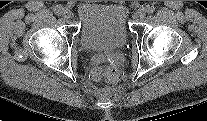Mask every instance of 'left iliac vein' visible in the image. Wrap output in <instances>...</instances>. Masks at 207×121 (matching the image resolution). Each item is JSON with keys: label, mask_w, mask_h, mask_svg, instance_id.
Segmentation results:
<instances>
[{"label": "left iliac vein", "mask_w": 207, "mask_h": 121, "mask_svg": "<svg viewBox=\"0 0 207 121\" xmlns=\"http://www.w3.org/2000/svg\"><path fill=\"white\" fill-rule=\"evenodd\" d=\"M137 16L139 18H144L146 16V9L144 7H141L138 11H137Z\"/></svg>", "instance_id": "left-iliac-vein-1"}]
</instances>
